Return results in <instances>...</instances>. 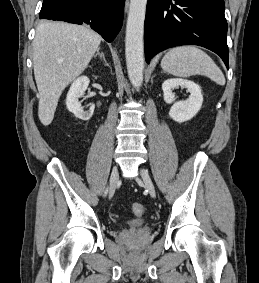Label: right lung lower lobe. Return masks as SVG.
Masks as SVG:
<instances>
[{"mask_svg": "<svg viewBox=\"0 0 259 283\" xmlns=\"http://www.w3.org/2000/svg\"><path fill=\"white\" fill-rule=\"evenodd\" d=\"M125 0H44L40 18L86 23L107 42L119 33Z\"/></svg>", "mask_w": 259, "mask_h": 283, "instance_id": "1", "label": "right lung lower lobe"}]
</instances>
